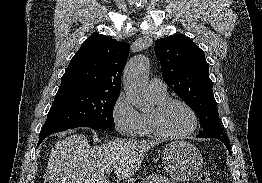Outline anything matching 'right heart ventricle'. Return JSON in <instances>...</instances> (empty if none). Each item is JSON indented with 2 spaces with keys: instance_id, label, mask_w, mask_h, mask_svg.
Returning <instances> with one entry per match:
<instances>
[{
  "instance_id": "1",
  "label": "right heart ventricle",
  "mask_w": 262,
  "mask_h": 183,
  "mask_svg": "<svg viewBox=\"0 0 262 183\" xmlns=\"http://www.w3.org/2000/svg\"><path fill=\"white\" fill-rule=\"evenodd\" d=\"M154 101L157 103L165 100L167 98V95H152ZM137 134L142 137H154L150 124H149V113H140V124L138 128Z\"/></svg>"
}]
</instances>
